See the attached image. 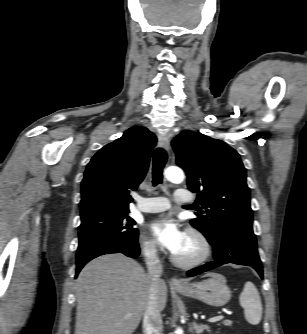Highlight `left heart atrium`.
Returning a JSON list of instances; mask_svg holds the SVG:
<instances>
[{"instance_id":"1","label":"left heart atrium","mask_w":307,"mask_h":334,"mask_svg":"<svg viewBox=\"0 0 307 334\" xmlns=\"http://www.w3.org/2000/svg\"><path fill=\"white\" fill-rule=\"evenodd\" d=\"M149 229L155 241L172 253L177 252L185 242L186 233L169 216L155 220Z\"/></svg>"}]
</instances>
